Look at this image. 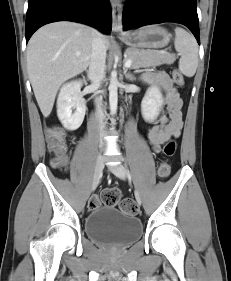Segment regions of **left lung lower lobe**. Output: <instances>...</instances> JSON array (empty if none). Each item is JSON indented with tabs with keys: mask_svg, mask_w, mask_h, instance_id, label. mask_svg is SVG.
<instances>
[{
	"mask_svg": "<svg viewBox=\"0 0 231 281\" xmlns=\"http://www.w3.org/2000/svg\"><path fill=\"white\" fill-rule=\"evenodd\" d=\"M162 22L185 25L200 44L196 0H138L127 2L124 7L122 14L124 30Z\"/></svg>",
	"mask_w": 231,
	"mask_h": 281,
	"instance_id": "0a47b994",
	"label": "left lung lower lobe"
}]
</instances>
